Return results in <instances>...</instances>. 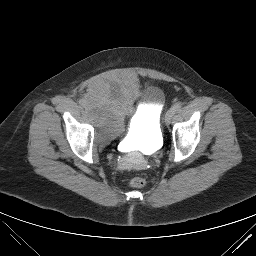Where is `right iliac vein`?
<instances>
[{
	"instance_id": "right-iliac-vein-1",
	"label": "right iliac vein",
	"mask_w": 256,
	"mask_h": 256,
	"mask_svg": "<svg viewBox=\"0 0 256 256\" xmlns=\"http://www.w3.org/2000/svg\"><path fill=\"white\" fill-rule=\"evenodd\" d=\"M84 110H85L86 112H89V111L91 110V107H90L89 105H86V106L84 107Z\"/></svg>"
}]
</instances>
